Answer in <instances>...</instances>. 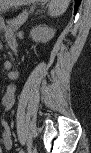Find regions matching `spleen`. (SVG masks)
Returning a JSON list of instances; mask_svg holds the SVG:
<instances>
[{
	"mask_svg": "<svg viewBox=\"0 0 91 153\" xmlns=\"http://www.w3.org/2000/svg\"><path fill=\"white\" fill-rule=\"evenodd\" d=\"M68 5V0H51L48 5V13L52 17L60 16L66 11Z\"/></svg>",
	"mask_w": 91,
	"mask_h": 153,
	"instance_id": "obj_1",
	"label": "spleen"
}]
</instances>
